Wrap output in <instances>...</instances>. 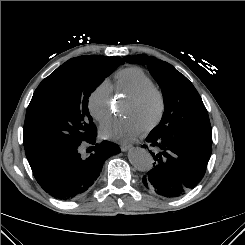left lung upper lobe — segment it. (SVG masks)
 I'll use <instances>...</instances> for the list:
<instances>
[{"label":"left lung upper lobe","instance_id":"1","mask_svg":"<svg viewBox=\"0 0 245 245\" xmlns=\"http://www.w3.org/2000/svg\"><path fill=\"white\" fill-rule=\"evenodd\" d=\"M128 63L147 65L161 87L164 113L160 124L150 133L186 134L212 144L208 112L193 84L172 65L147 55L126 56Z\"/></svg>","mask_w":245,"mask_h":245}]
</instances>
